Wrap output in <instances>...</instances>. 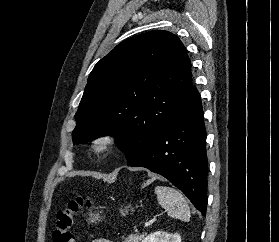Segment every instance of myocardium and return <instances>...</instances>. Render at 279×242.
<instances>
[{
    "label": "myocardium",
    "mask_w": 279,
    "mask_h": 242,
    "mask_svg": "<svg viewBox=\"0 0 279 242\" xmlns=\"http://www.w3.org/2000/svg\"><path fill=\"white\" fill-rule=\"evenodd\" d=\"M116 141V136L110 132L99 133L90 141V151L97 156L104 155L113 149Z\"/></svg>",
    "instance_id": "myocardium-1"
}]
</instances>
